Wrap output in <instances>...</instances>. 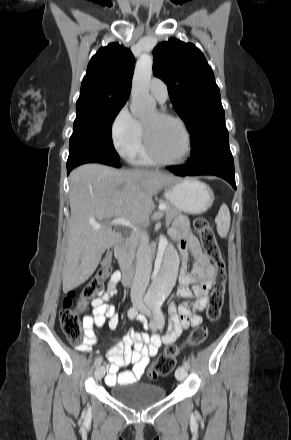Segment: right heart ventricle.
I'll return each mask as SVG.
<instances>
[{"mask_svg":"<svg viewBox=\"0 0 291 440\" xmlns=\"http://www.w3.org/2000/svg\"><path fill=\"white\" fill-rule=\"evenodd\" d=\"M129 159L134 165L138 166H154L156 164V162L149 156L142 141H140L138 148Z\"/></svg>","mask_w":291,"mask_h":440,"instance_id":"1","label":"right heart ventricle"}]
</instances>
